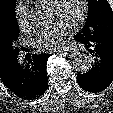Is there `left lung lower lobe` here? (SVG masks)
<instances>
[{
	"mask_svg": "<svg viewBox=\"0 0 113 113\" xmlns=\"http://www.w3.org/2000/svg\"><path fill=\"white\" fill-rule=\"evenodd\" d=\"M84 44L94 58L92 68L83 74H77V83L85 91L97 93L106 89L113 82V36H75Z\"/></svg>",
	"mask_w": 113,
	"mask_h": 113,
	"instance_id": "left-lung-lower-lobe-1",
	"label": "left lung lower lobe"
}]
</instances>
